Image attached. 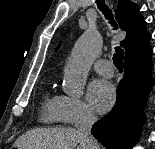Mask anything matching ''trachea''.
Masks as SVG:
<instances>
[{"label":"trachea","instance_id":"3493384b","mask_svg":"<svg viewBox=\"0 0 155 149\" xmlns=\"http://www.w3.org/2000/svg\"><path fill=\"white\" fill-rule=\"evenodd\" d=\"M98 8L105 14L106 18H112V13L105 5V2L102 0L97 1ZM113 26H116L114 21H111ZM124 58V51L122 49L116 48V53L113 55V62L118 70H122V63Z\"/></svg>","mask_w":155,"mask_h":149}]
</instances>
